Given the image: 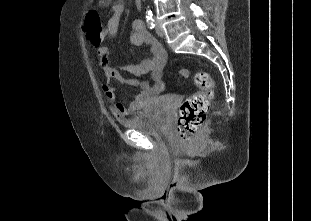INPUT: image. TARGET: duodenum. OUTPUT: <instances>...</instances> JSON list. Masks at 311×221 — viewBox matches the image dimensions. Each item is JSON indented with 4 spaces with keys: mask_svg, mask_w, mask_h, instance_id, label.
Segmentation results:
<instances>
[{
    "mask_svg": "<svg viewBox=\"0 0 311 221\" xmlns=\"http://www.w3.org/2000/svg\"><path fill=\"white\" fill-rule=\"evenodd\" d=\"M136 2H137V6H138L139 8H141L142 5H143V0H136ZM143 23H144V21H143Z\"/></svg>",
    "mask_w": 311,
    "mask_h": 221,
    "instance_id": "1",
    "label": "duodenum"
}]
</instances>
